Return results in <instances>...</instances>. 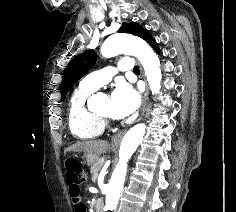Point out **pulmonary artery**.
<instances>
[{"mask_svg": "<svg viewBox=\"0 0 236 212\" xmlns=\"http://www.w3.org/2000/svg\"><path fill=\"white\" fill-rule=\"evenodd\" d=\"M134 64L131 58L124 57L120 60L117 67L108 66L88 74L83 78L81 84L85 87L98 89L109 83L112 77L120 71L133 70Z\"/></svg>", "mask_w": 236, "mask_h": 212, "instance_id": "1", "label": "pulmonary artery"}]
</instances>
